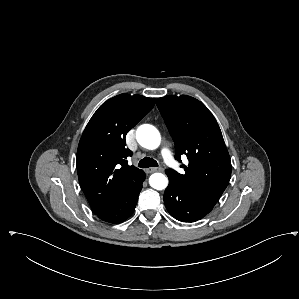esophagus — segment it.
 <instances>
[{
  "mask_svg": "<svg viewBox=\"0 0 299 299\" xmlns=\"http://www.w3.org/2000/svg\"><path fill=\"white\" fill-rule=\"evenodd\" d=\"M161 171H163L162 167L145 169V172L148 174L153 173V172H161Z\"/></svg>",
  "mask_w": 299,
  "mask_h": 299,
  "instance_id": "1",
  "label": "esophagus"
}]
</instances>
